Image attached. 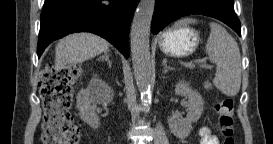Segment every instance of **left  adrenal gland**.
I'll list each match as a JSON object with an SVG mask.
<instances>
[{
    "label": "left adrenal gland",
    "instance_id": "1",
    "mask_svg": "<svg viewBox=\"0 0 273 144\" xmlns=\"http://www.w3.org/2000/svg\"><path fill=\"white\" fill-rule=\"evenodd\" d=\"M163 67H164V70H163V73H167L169 70L172 69V67H168L167 66V63H166V59L163 60Z\"/></svg>",
    "mask_w": 273,
    "mask_h": 144
}]
</instances>
